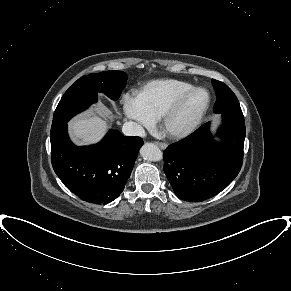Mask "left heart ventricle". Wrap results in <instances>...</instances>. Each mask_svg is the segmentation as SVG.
<instances>
[{"label": "left heart ventricle", "mask_w": 291, "mask_h": 291, "mask_svg": "<svg viewBox=\"0 0 291 291\" xmlns=\"http://www.w3.org/2000/svg\"><path fill=\"white\" fill-rule=\"evenodd\" d=\"M206 99L207 96L204 91H196L189 96L172 118L170 123L171 128L181 129L191 123L205 105Z\"/></svg>", "instance_id": "obj_1"}]
</instances>
